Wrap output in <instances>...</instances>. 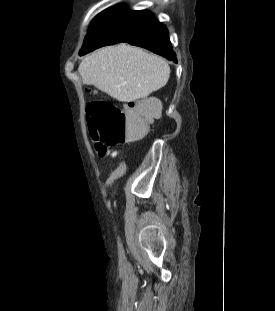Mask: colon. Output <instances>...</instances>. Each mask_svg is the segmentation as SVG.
I'll use <instances>...</instances> for the list:
<instances>
[{
    "mask_svg": "<svg viewBox=\"0 0 275 311\" xmlns=\"http://www.w3.org/2000/svg\"><path fill=\"white\" fill-rule=\"evenodd\" d=\"M160 116L151 102H132L127 109L105 100L92 101L87 106V124L99 157L128 141L142 138L148 125Z\"/></svg>",
    "mask_w": 275,
    "mask_h": 311,
    "instance_id": "colon-1",
    "label": "colon"
}]
</instances>
